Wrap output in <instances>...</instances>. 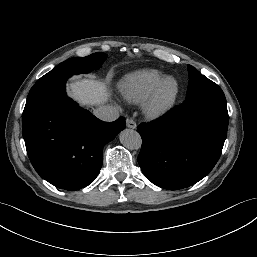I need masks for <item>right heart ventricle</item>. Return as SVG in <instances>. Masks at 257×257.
<instances>
[{
  "mask_svg": "<svg viewBox=\"0 0 257 257\" xmlns=\"http://www.w3.org/2000/svg\"><path fill=\"white\" fill-rule=\"evenodd\" d=\"M163 77L164 74L155 69L138 70L126 75L121 80L119 91L127 101L143 103Z\"/></svg>",
  "mask_w": 257,
  "mask_h": 257,
  "instance_id": "obj_1",
  "label": "right heart ventricle"
}]
</instances>
